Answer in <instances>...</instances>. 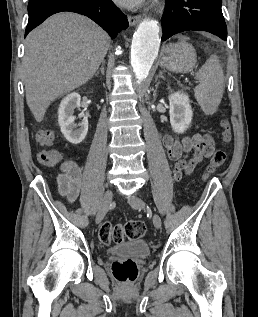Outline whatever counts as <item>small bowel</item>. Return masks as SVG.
<instances>
[{"label": "small bowel", "mask_w": 258, "mask_h": 317, "mask_svg": "<svg viewBox=\"0 0 258 317\" xmlns=\"http://www.w3.org/2000/svg\"><path fill=\"white\" fill-rule=\"evenodd\" d=\"M54 133L51 129H41L36 134V141L40 146H51ZM163 146L169 160L175 163L173 175L179 181L184 174H190L203 159L209 158L214 149L215 141L208 134H194L192 136L173 137L165 134L162 138ZM61 173L58 176L59 193L69 202H74L80 192L82 172L79 165L71 160L62 162Z\"/></svg>", "instance_id": "1"}]
</instances>
